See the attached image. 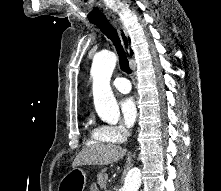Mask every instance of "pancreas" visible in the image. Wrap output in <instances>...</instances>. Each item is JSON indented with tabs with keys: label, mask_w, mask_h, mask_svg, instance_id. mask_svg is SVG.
I'll use <instances>...</instances> for the list:
<instances>
[{
	"label": "pancreas",
	"mask_w": 221,
	"mask_h": 191,
	"mask_svg": "<svg viewBox=\"0 0 221 191\" xmlns=\"http://www.w3.org/2000/svg\"><path fill=\"white\" fill-rule=\"evenodd\" d=\"M108 174L104 171L97 174V182L100 188L105 189L107 186Z\"/></svg>",
	"instance_id": "cf45deb5"
}]
</instances>
